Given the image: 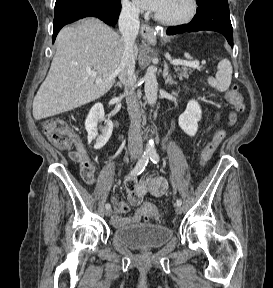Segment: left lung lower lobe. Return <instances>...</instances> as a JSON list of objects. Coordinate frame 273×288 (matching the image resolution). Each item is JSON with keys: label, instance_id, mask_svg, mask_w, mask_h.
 <instances>
[{"label": "left lung lower lobe", "instance_id": "obj_1", "mask_svg": "<svg viewBox=\"0 0 273 288\" xmlns=\"http://www.w3.org/2000/svg\"><path fill=\"white\" fill-rule=\"evenodd\" d=\"M200 30L216 31L225 36L233 47V28L230 21L228 0H206L198 3L196 15L188 24L169 27L168 35Z\"/></svg>", "mask_w": 273, "mask_h": 288}]
</instances>
